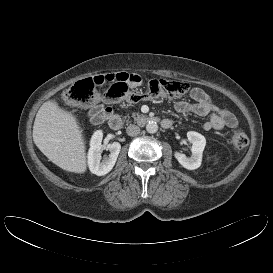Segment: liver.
<instances>
[{
	"label": "liver",
	"instance_id": "6515ba94",
	"mask_svg": "<svg viewBox=\"0 0 273 273\" xmlns=\"http://www.w3.org/2000/svg\"><path fill=\"white\" fill-rule=\"evenodd\" d=\"M33 141L39 150L60 168L74 173L87 170L86 146L76 116L55 100L40 107L33 126Z\"/></svg>",
	"mask_w": 273,
	"mask_h": 273
}]
</instances>
